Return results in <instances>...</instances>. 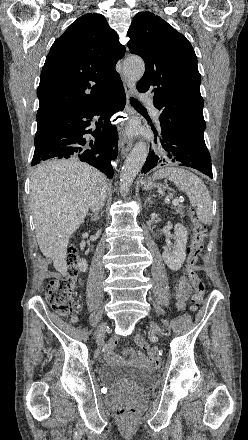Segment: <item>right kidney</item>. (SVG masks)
<instances>
[{"mask_svg": "<svg viewBox=\"0 0 248 440\" xmlns=\"http://www.w3.org/2000/svg\"><path fill=\"white\" fill-rule=\"evenodd\" d=\"M78 267H79L80 271L85 272L88 268V264H87L86 260H84V259L78 260Z\"/></svg>", "mask_w": 248, "mask_h": 440, "instance_id": "ca27d5eb", "label": "right kidney"}]
</instances>
